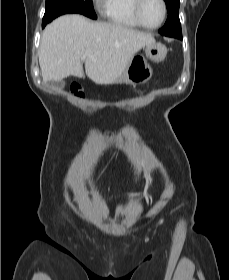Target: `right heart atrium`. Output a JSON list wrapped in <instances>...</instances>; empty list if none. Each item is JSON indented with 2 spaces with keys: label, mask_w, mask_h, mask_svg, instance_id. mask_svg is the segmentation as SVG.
Segmentation results:
<instances>
[{
  "label": "right heart atrium",
  "mask_w": 229,
  "mask_h": 280,
  "mask_svg": "<svg viewBox=\"0 0 229 280\" xmlns=\"http://www.w3.org/2000/svg\"><path fill=\"white\" fill-rule=\"evenodd\" d=\"M93 3L97 9H102L106 3V0H93Z\"/></svg>",
  "instance_id": "d8ad5b80"
}]
</instances>
